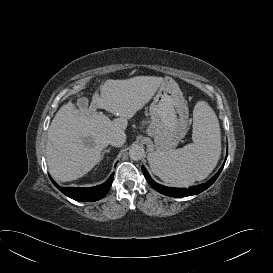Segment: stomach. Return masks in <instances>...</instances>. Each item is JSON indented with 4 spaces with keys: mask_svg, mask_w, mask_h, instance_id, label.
I'll list each match as a JSON object with an SVG mask.
<instances>
[{
    "mask_svg": "<svg viewBox=\"0 0 273 273\" xmlns=\"http://www.w3.org/2000/svg\"><path fill=\"white\" fill-rule=\"evenodd\" d=\"M151 123L147 133L157 151H171L184 137L188 125V108L178 84L164 79L149 109Z\"/></svg>",
    "mask_w": 273,
    "mask_h": 273,
    "instance_id": "stomach-1",
    "label": "stomach"
}]
</instances>
